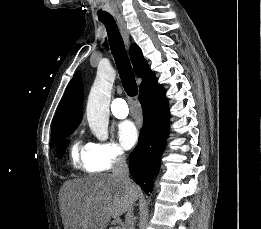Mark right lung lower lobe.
Returning <instances> with one entry per match:
<instances>
[{
    "instance_id": "obj_1",
    "label": "right lung lower lobe",
    "mask_w": 261,
    "mask_h": 229,
    "mask_svg": "<svg viewBox=\"0 0 261 229\" xmlns=\"http://www.w3.org/2000/svg\"><path fill=\"white\" fill-rule=\"evenodd\" d=\"M144 112L139 141L129 156V170L134 181L148 194L153 190L161 155L169 131V110L164 88L156 82L139 94Z\"/></svg>"
}]
</instances>
